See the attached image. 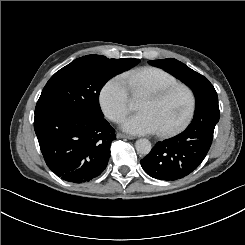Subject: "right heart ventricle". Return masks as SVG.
<instances>
[{
  "mask_svg": "<svg viewBox=\"0 0 245 245\" xmlns=\"http://www.w3.org/2000/svg\"><path fill=\"white\" fill-rule=\"evenodd\" d=\"M120 79L129 87L131 94L136 97L151 85L166 87L180 83L169 72L151 66L137 67L126 71L121 74Z\"/></svg>",
  "mask_w": 245,
  "mask_h": 245,
  "instance_id": "1",
  "label": "right heart ventricle"
}]
</instances>
